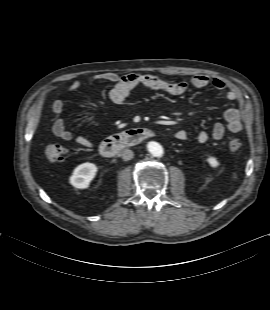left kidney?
<instances>
[{"instance_id": "5707ae66", "label": "left kidney", "mask_w": 270, "mask_h": 310, "mask_svg": "<svg viewBox=\"0 0 270 310\" xmlns=\"http://www.w3.org/2000/svg\"><path fill=\"white\" fill-rule=\"evenodd\" d=\"M207 162L209 163V165L213 168H216L219 166V162L217 160V158L210 156L207 158Z\"/></svg>"}]
</instances>
